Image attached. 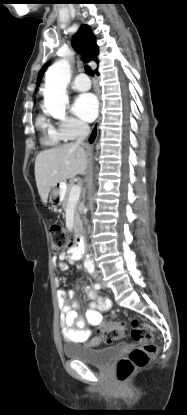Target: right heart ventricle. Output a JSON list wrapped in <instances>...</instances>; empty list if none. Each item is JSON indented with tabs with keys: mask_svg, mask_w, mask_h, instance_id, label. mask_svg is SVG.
I'll use <instances>...</instances> for the list:
<instances>
[{
	"mask_svg": "<svg viewBox=\"0 0 187 415\" xmlns=\"http://www.w3.org/2000/svg\"><path fill=\"white\" fill-rule=\"evenodd\" d=\"M36 125L44 145L56 146L65 140L59 128L55 127L45 116L39 115L36 119Z\"/></svg>",
	"mask_w": 187,
	"mask_h": 415,
	"instance_id": "right-heart-ventricle-1",
	"label": "right heart ventricle"
}]
</instances>
